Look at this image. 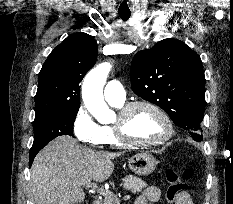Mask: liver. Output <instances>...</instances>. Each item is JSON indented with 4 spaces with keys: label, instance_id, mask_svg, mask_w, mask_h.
Instances as JSON below:
<instances>
[{
    "label": "liver",
    "instance_id": "liver-1",
    "mask_svg": "<svg viewBox=\"0 0 233 204\" xmlns=\"http://www.w3.org/2000/svg\"><path fill=\"white\" fill-rule=\"evenodd\" d=\"M122 154L81 148L68 135L55 138L37 154L31 167L35 204L83 202V187L91 181H106L114 170L112 159Z\"/></svg>",
    "mask_w": 233,
    "mask_h": 204
}]
</instances>
